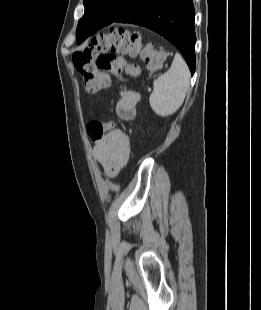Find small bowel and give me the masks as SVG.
Listing matches in <instances>:
<instances>
[{
  "instance_id": "c3829d8e",
  "label": "small bowel",
  "mask_w": 261,
  "mask_h": 310,
  "mask_svg": "<svg viewBox=\"0 0 261 310\" xmlns=\"http://www.w3.org/2000/svg\"><path fill=\"white\" fill-rule=\"evenodd\" d=\"M140 94L134 90H124L116 104V112L122 120H132L137 112ZM108 132L94 139V156L109 176H115L128 162L131 143L127 134L109 123Z\"/></svg>"
}]
</instances>
